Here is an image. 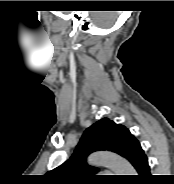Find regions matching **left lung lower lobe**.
<instances>
[{
  "instance_id": "left-lung-lower-lobe-1",
  "label": "left lung lower lobe",
  "mask_w": 174,
  "mask_h": 184,
  "mask_svg": "<svg viewBox=\"0 0 174 184\" xmlns=\"http://www.w3.org/2000/svg\"><path fill=\"white\" fill-rule=\"evenodd\" d=\"M126 159L134 166L138 172L136 176L138 179L150 178V167L148 165L147 157L139 142L135 143Z\"/></svg>"
}]
</instances>
